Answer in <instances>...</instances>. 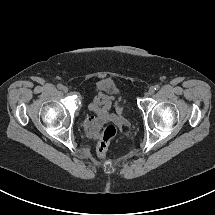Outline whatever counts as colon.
Wrapping results in <instances>:
<instances>
[{"instance_id":"colon-1","label":"colon","mask_w":215,"mask_h":215,"mask_svg":"<svg viewBox=\"0 0 215 215\" xmlns=\"http://www.w3.org/2000/svg\"><path fill=\"white\" fill-rule=\"evenodd\" d=\"M118 133V128L113 123L106 124L100 134V140L97 145V153L100 157L104 158L106 156L108 147L111 141L116 137Z\"/></svg>"}]
</instances>
